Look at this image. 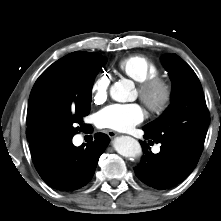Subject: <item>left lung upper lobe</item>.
Here are the masks:
<instances>
[{
	"mask_svg": "<svg viewBox=\"0 0 221 221\" xmlns=\"http://www.w3.org/2000/svg\"><path fill=\"white\" fill-rule=\"evenodd\" d=\"M162 63L172 80L171 104L144 128L156 143H173L201 155L210 122L203 90L192 68L176 54Z\"/></svg>",
	"mask_w": 221,
	"mask_h": 221,
	"instance_id": "1",
	"label": "left lung upper lobe"
}]
</instances>
